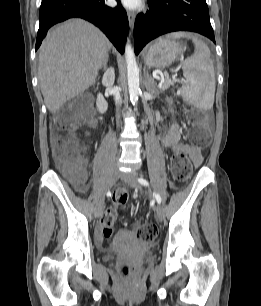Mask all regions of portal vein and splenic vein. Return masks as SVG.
I'll return each instance as SVG.
<instances>
[{
	"label": "portal vein and splenic vein",
	"mask_w": 261,
	"mask_h": 306,
	"mask_svg": "<svg viewBox=\"0 0 261 306\" xmlns=\"http://www.w3.org/2000/svg\"><path fill=\"white\" fill-rule=\"evenodd\" d=\"M169 82H171V80L168 78V76H167V78H166Z\"/></svg>",
	"instance_id": "obj_1"
}]
</instances>
